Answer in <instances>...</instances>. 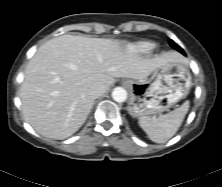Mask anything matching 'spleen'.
<instances>
[{
    "instance_id": "spleen-1",
    "label": "spleen",
    "mask_w": 222,
    "mask_h": 187,
    "mask_svg": "<svg viewBox=\"0 0 222 187\" xmlns=\"http://www.w3.org/2000/svg\"><path fill=\"white\" fill-rule=\"evenodd\" d=\"M188 110L189 101H185L179 108L158 118L149 116L140 118L139 125L150 140L165 143L178 131Z\"/></svg>"
}]
</instances>
